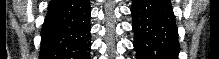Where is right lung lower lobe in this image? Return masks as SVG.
<instances>
[{
    "mask_svg": "<svg viewBox=\"0 0 219 59\" xmlns=\"http://www.w3.org/2000/svg\"><path fill=\"white\" fill-rule=\"evenodd\" d=\"M90 1L51 0L41 30L40 59H88Z\"/></svg>",
    "mask_w": 219,
    "mask_h": 59,
    "instance_id": "right-lung-lower-lobe-1",
    "label": "right lung lower lobe"
}]
</instances>
